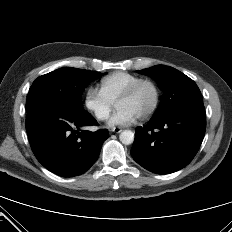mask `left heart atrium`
<instances>
[{
    "instance_id": "obj_1",
    "label": "left heart atrium",
    "mask_w": 232,
    "mask_h": 232,
    "mask_svg": "<svg viewBox=\"0 0 232 232\" xmlns=\"http://www.w3.org/2000/svg\"><path fill=\"white\" fill-rule=\"evenodd\" d=\"M138 117L125 108H118L108 121L110 127L128 126Z\"/></svg>"
}]
</instances>
